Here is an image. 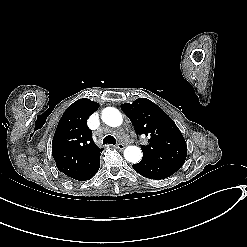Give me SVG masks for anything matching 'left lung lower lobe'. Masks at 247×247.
<instances>
[{
    "label": "left lung lower lobe",
    "instance_id": "left-lung-lower-lobe-1",
    "mask_svg": "<svg viewBox=\"0 0 247 247\" xmlns=\"http://www.w3.org/2000/svg\"><path fill=\"white\" fill-rule=\"evenodd\" d=\"M140 175L150 179H164L173 175L179 168L152 156H144L142 160L132 165Z\"/></svg>",
    "mask_w": 247,
    "mask_h": 247
}]
</instances>
